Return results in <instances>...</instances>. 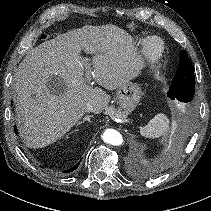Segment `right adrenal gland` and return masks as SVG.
Segmentation results:
<instances>
[{"instance_id": "2a0ac1e0", "label": "right adrenal gland", "mask_w": 211, "mask_h": 211, "mask_svg": "<svg viewBox=\"0 0 211 211\" xmlns=\"http://www.w3.org/2000/svg\"><path fill=\"white\" fill-rule=\"evenodd\" d=\"M91 117H93V115H86V116L83 118L82 121H79V122L76 124V126H79L80 124L84 123L85 121L90 122Z\"/></svg>"}]
</instances>
